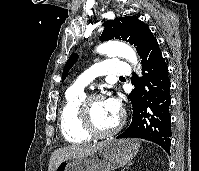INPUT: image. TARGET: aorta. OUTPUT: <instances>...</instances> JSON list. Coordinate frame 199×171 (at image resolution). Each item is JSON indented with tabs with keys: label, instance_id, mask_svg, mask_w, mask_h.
Instances as JSON below:
<instances>
[{
	"label": "aorta",
	"instance_id": "aorta-1",
	"mask_svg": "<svg viewBox=\"0 0 199 171\" xmlns=\"http://www.w3.org/2000/svg\"><path fill=\"white\" fill-rule=\"evenodd\" d=\"M97 52L109 56H119L127 59L135 67L138 65V59L134 50L127 44L118 41H108L97 47Z\"/></svg>",
	"mask_w": 199,
	"mask_h": 171
}]
</instances>
